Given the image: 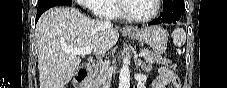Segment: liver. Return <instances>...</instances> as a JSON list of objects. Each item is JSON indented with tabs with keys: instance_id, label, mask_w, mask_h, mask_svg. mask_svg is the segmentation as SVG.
I'll return each instance as SVG.
<instances>
[{
	"instance_id": "1",
	"label": "liver",
	"mask_w": 227,
	"mask_h": 88,
	"mask_svg": "<svg viewBox=\"0 0 227 88\" xmlns=\"http://www.w3.org/2000/svg\"><path fill=\"white\" fill-rule=\"evenodd\" d=\"M36 36L40 88H64L81 62L80 55L65 49L90 47L94 55H102L117 43L119 33L76 8L54 7L38 20Z\"/></svg>"
}]
</instances>
